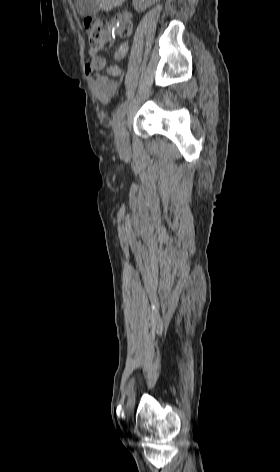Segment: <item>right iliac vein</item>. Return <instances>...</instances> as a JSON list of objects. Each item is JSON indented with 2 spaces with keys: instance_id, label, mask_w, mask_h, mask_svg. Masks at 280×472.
Segmentation results:
<instances>
[{
  "instance_id": "obj_1",
  "label": "right iliac vein",
  "mask_w": 280,
  "mask_h": 472,
  "mask_svg": "<svg viewBox=\"0 0 280 472\" xmlns=\"http://www.w3.org/2000/svg\"><path fill=\"white\" fill-rule=\"evenodd\" d=\"M116 144L121 156L127 157L130 155V144L128 133L126 130V120L123 119L116 132Z\"/></svg>"
}]
</instances>
